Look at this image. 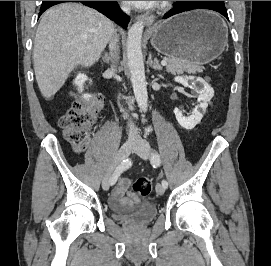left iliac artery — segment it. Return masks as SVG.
Segmentation results:
<instances>
[{
  "mask_svg": "<svg viewBox=\"0 0 271 266\" xmlns=\"http://www.w3.org/2000/svg\"><path fill=\"white\" fill-rule=\"evenodd\" d=\"M151 164L153 167H158L161 164L160 155L157 152H153L151 156ZM162 185L167 188L168 182L166 180H162Z\"/></svg>",
  "mask_w": 271,
  "mask_h": 266,
  "instance_id": "1",
  "label": "left iliac artery"
}]
</instances>
